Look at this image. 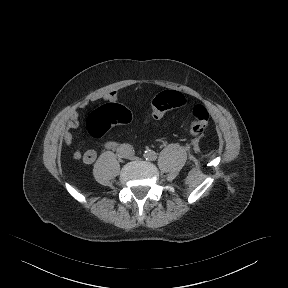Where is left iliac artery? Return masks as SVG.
<instances>
[{"label": "left iliac artery", "instance_id": "44dca946", "mask_svg": "<svg viewBox=\"0 0 288 288\" xmlns=\"http://www.w3.org/2000/svg\"><path fill=\"white\" fill-rule=\"evenodd\" d=\"M144 157L146 160L154 161L157 159V154L152 150H146L144 153Z\"/></svg>", "mask_w": 288, "mask_h": 288}]
</instances>
